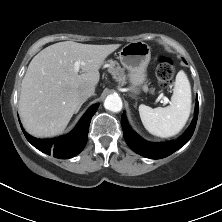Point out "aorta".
<instances>
[{"instance_id": "762f6f07", "label": "aorta", "mask_w": 222, "mask_h": 222, "mask_svg": "<svg viewBox=\"0 0 222 222\" xmlns=\"http://www.w3.org/2000/svg\"><path fill=\"white\" fill-rule=\"evenodd\" d=\"M104 107L109 111L119 112L123 107L122 100L116 94L108 95L104 101Z\"/></svg>"}]
</instances>
